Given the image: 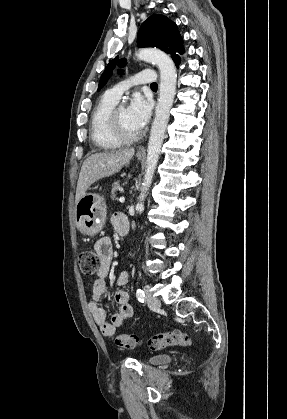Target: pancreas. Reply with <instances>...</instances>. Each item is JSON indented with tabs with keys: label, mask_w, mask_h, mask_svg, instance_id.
<instances>
[{
	"label": "pancreas",
	"mask_w": 287,
	"mask_h": 419,
	"mask_svg": "<svg viewBox=\"0 0 287 419\" xmlns=\"http://www.w3.org/2000/svg\"><path fill=\"white\" fill-rule=\"evenodd\" d=\"M120 189V184H119V182L118 181H116V182H114L113 184H112V190H111V199L112 200H116L117 198H116V192L118 191Z\"/></svg>",
	"instance_id": "pancreas-1"
}]
</instances>
